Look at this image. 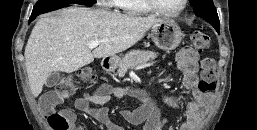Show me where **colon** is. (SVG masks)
Returning <instances> with one entry per match:
<instances>
[{
  "instance_id": "5ec220e1",
  "label": "colon",
  "mask_w": 257,
  "mask_h": 130,
  "mask_svg": "<svg viewBox=\"0 0 257 130\" xmlns=\"http://www.w3.org/2000/svg\"><path fill=\"white\" fill-rule=\"evenodd\" d=\"M193 47L203 51L209 46V38L200 31H194L191 36ZM94 79L90 70H81L74 74L65 76L56 86V93L70 95L76 92L83 83ZM198 88L203 93L212 92L216 88L215 62L212 58L204 57L201 60L200 81ZM53 130H70L69 118L61 112H53L46 116Z\"/></svg>"
}]
</instances>
